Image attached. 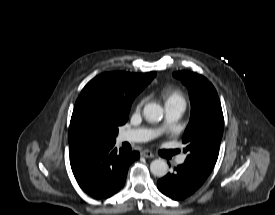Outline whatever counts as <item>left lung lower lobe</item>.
I'll list each match as a JSON object with an SVG mask.
<instances>
[{
	"instance_id": "0a47b994",
	"label": "left lung lower lobe",
	"mask_w": 275,
	"mask_h": 215,
	"mask_svg": "<svg viewBox=\"0 0 275 215\" xmlns=\"http://www.w3.org/2000/svg\"><path fill=\"white\" fill-rule=\"evenodd\" d=\"M209 174L200 171L184 162L178 165L173 173H168L157 182V187L167 197L182 200L196 192Z\"/></svg>"
}]
</instances>
